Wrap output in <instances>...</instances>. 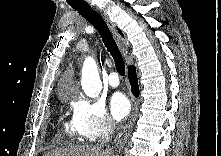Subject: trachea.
I'll return each mask as SVG.
<instances>
[{
  "label": "trachea",
  "mask_w": 221,
  "mask_h": 156,
  "mask_svg": "<svg viewBox=\"0 0 221 156\" xmlns=\"http://www.w3.org/2000/svg\"><path fill=\"white\" fill-rule=\"evenodd\" d=\"M68 4L77 10L86 20H88L100 34L104 45L114 59L117 72L121 76H125V64L118 46L102 17L93 10L87 2L82 0H73Z\"/></svg>",
  "instance_id": "trachea-1"
}]
</instances>
